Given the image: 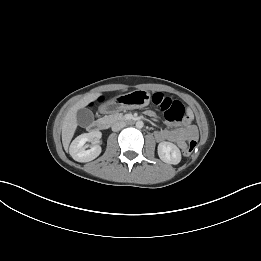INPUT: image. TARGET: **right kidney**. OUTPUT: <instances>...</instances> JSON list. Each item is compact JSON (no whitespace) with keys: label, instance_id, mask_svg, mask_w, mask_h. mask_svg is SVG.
Here are the masks:
<instances>
[{"label":"right kidney","instance_id":"1","mask_svg":"<svg viewBox=\"0 0 261 261\" xmlns=\"http://www.w3.org/2000/svg\"><path fill=\"white\" fill-rule=\"evenodd\" d=\"M100 137L101 133L99 131L84 133L76 137L69 148L72 158L77 162H89L97 158L101 153V147L96 144L87 149L88 146L85 143L94 142L99 140Z\"/></svg>","mask_w":261,"mask_h":261}]
</instances>
